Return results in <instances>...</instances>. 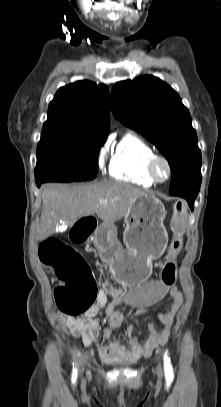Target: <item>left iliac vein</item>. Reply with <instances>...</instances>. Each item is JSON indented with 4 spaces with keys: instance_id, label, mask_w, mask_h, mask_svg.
Segmentation results:
<instances>
[{
    "instance_id": "left-iliac-vein-1",
    "label": "left iliac vein",
    "mask_w": 221,
    "mask_h": 407,
    "mask_svg": "<svg viewBox=\"0 0 221 407\" xmlns=\"http://www.w3.org/2000/svg\"><path fill=\"white\" fill-rule=\"evenodd\" d=\"M157 375H158L159 377L162 376V367H161L160 364H159L158 367H157Z\"/></svg>"
}]
</instances>
